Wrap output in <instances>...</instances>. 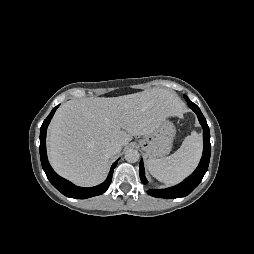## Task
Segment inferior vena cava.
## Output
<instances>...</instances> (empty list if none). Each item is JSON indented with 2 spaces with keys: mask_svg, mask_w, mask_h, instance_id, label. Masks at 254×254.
<instances>
[{
  "mask_svg": "<svg viewBox=\"0 0 254 254\" xmlns=\"http://www.w3.org/2000/svg\"><path fill=\"white\" fill-rule=\"evenodd\" d=\"M121 148L122 147H121L120 144L112 143L106 149L107 155L110 156V157L113 156V155H116L121 151Z\"/></svg>",
  "mask_w": 254,
  "mask_h": 254,
  "instance_id": "obj_1",
  "label": "inferior vena cava"
}]
</instances>
